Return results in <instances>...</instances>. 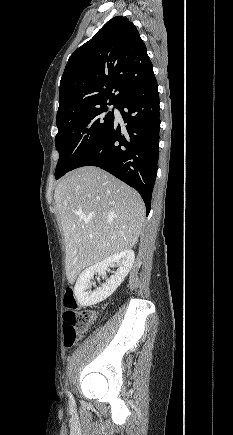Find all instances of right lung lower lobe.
<instances>
[{
    "label": "right lung lower lobe",
    "mask_w": 233,
    "mask_h": 435,
    "mask_svg": "<svg viewBox=\"0 0 233 435\" xmlns=\"http://www.w3.org/2000/svg\"><path fill=\"white\" fill-rule=\"evenodd\" d=\"M126 126L113 122L104 137L74 166L100 167L135 188L151 208L159 148V95L152 73L119 103Z\"/></svg>",
    "instance_id": "obj_1"
}]
</instances>
